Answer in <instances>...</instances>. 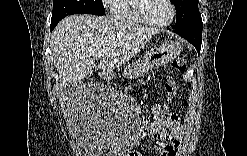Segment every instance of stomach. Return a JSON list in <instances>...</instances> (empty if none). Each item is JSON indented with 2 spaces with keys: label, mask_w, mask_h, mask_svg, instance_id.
<instances>
[{
  "label": "stomach",
  "mask_w": 247,
  "mask_h": 156,
  "mask_svg": "<svg viewBox=\"0 0 247 156\" xmlns=\"http://www.w3.org/2000/svg\"><path fill=\"white\" fill-rule=\"evenodd\" d=\"M183 46L178 41H169L161 46L147 52L141 60L129 65L124 70V76L133 77L135 71L139 68L144 70L158 69L159 67L171 62L182 51Z\"/></svg>",
  "instance_id": "0dacf381"
}]
</instances>
